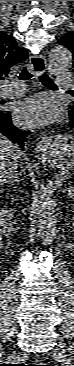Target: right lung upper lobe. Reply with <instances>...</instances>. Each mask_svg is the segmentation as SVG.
I'll return each mask as SVG.
<instances>
[{
	"label": "right lung upper lobe",
	"instance_id": "obj_1",
	"mask_svg": "<svg viewBox=\"0 0 74 366\" xmlns=\"http://www.w3.org/2000/svg\"><path fill=\"white\" fill-rule=\"evenodd\" d=\"M28 58V52L20 48L12 36L0 31V80L8 75L10 68Z\"/></svg>",
	"mask_w": 74,
	"mask_h": 366
}]
</instances>
